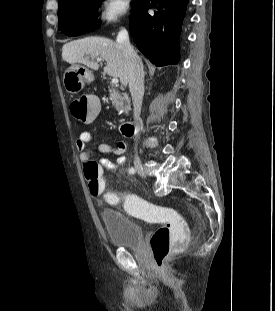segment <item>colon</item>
<instances>
[{
	"label": "colon",
	"instance_id": "1",
	"mask_svg": "<svg viewBox=\"0 0 275 311\" xmlns=\"http://www.w3.org/2000/svg\"><path fill=\"white\" fill-rule=\"evenodd\" d=\"M71 107L76 119L82 121V125H95L97 113L102 112L99 106V97H79L72 101ZM85 177L88 181L90 194L99 197L103 194L104 183L100 166L95 161L88 162L85 167ZM130 196L123 198L126 209L142 218L159 220L163 222L151 236L150 247L154 263L158 268L164 265V261L172 252L182 250L187 242V226L184 219L172 208L157 207L148 202Z\"/></svg>",
	"mask_w": 275,
	"mask_h": 311
}]
</instances>
